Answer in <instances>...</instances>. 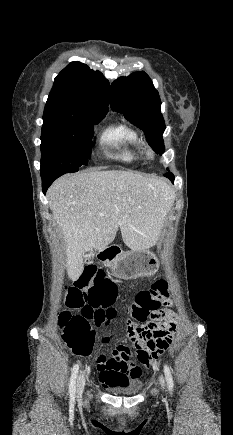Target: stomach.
I'll return each instance as SVG.
<instances>
[{
    "label": "stomach",
    "mask_w": 233,
    "mask_h": 435,
    "mask_svg": "<svg viewBox=\"0 0 233 435\" xmlns=\"http://www.w3.org/2000/svg\"><path fill=\"white\" fill-rule=\"evenodd\" d=\"M158 267L159 260L150 250H130L112 263V272L117 278L127 280L152 275Z\"/></svg>",
    "instance_id": "stomach-1"
}]
</instances>
